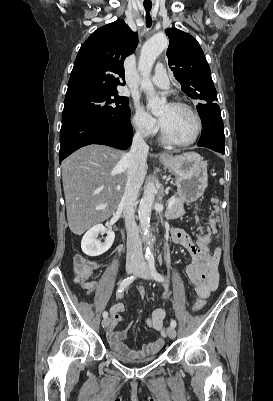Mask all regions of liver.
I'll return each mask as SVG.
<instances>
[{
  "label": "liver",
  "instance_id": "liver-1",
  "mask_svg": "<svg viewBox=\"0 0 273 401\" xmlns=\"http://www.w3.org/2000/svg\"><path fill=\"white\" fill-rule=\"evenodd\" d=\"M125 154L111 146L88 144L63 160L67 221L74 235H82L116 211L127 182ZM98 205L107 207L96 209Z\"/></svg>",
  "mask_w": 273,
  "mask_h": 401
}]
</instances>
